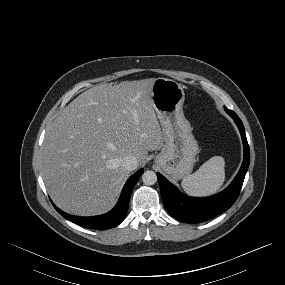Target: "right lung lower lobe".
Wrapping results in <instances>:
<instances>
[{
  "label": "right lung lower lobe",
  "instance_id": "right-lung-lower-lobe-1",
  "mask_svg": "<svg viewBox=\"0 0 285 285\" xmlns=\"http://www.w3.org/2000/svg\"><path fill=\"white\" fill-rule=\"evenodd\" d=\"M143 172L144 169H140L127 180L117 205L110 212L104 215L93 217H78L69 215L57 208L56 206L55 209L65 219L86 228L99 230L113 228L119 225L124 220L127 214L132 189Z\"/></svg>",
  "mask_w": 285,
  "mask_h": 285
}]
</instances>
